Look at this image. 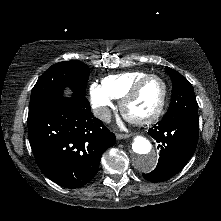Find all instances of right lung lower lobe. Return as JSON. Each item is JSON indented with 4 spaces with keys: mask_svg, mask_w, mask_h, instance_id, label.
<instances>
[{
    "mask_svg": "<svg viewBox=\"0 0 221 221\" xmlns=\"http://www.w3.org/2000/svg\"><path fill=\"white\" fill-rule=\"evenodd\" d=\"M35 160L49 179L66 188H78L97 173L104 151L116 137L93 116L84 95L60 97L28 121Z\"/></svg>",
    "mask_w": 221,
    "mask_h": 221,
    "instance_id": "right-lung-lower-lobe-1",
    "label": "right lung lower lobe"
}]
</instances>
